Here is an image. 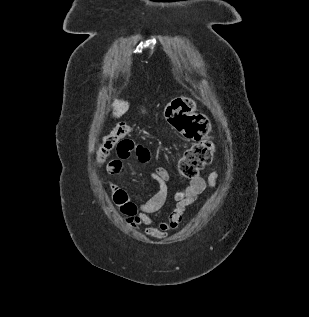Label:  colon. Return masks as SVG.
<instances>
[{
  "mask_svg": "<svg viewBox=\"0 0 309 317\" xmlns=\"http://www.w3.org/2000/svg\"><path fill=\"white\" fill-rule=\"evenodd\" d=\"M165 118L177 132L196 141L194 145L184 151L179 161V172L185 179L198 178L200 171L211 163L214 153L208 119L195 113V104L187 97L173 99L166 106ZM130 133L131 126L129 124L118 123L99 145L98 163L103 162L115 147H117V151H123L127 141L134 145L135 154H142L145 148L127 139Z\"/></svg>",
  "mask_w": 309,
  "mask_h": 317,
  "instance_id": "1",
  "label": "colon"
}]
</instances>
